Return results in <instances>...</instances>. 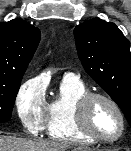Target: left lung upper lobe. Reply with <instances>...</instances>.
Segmentation results:
<instances>
[{"instance_id": "1", "label": "left lung upper lobe", "mask_w": 131, "mask_h": 151, "mask_svg": "<svg viewBox=\"0 0 131 151\" xmlns=\"http://www.w3.org/2000/svg\"><path fill=\"white\" fill-rule=\"evenodd\" d=\"M85 71L118 104L131 126L130 42L112 22L93 18L75 27Z\"/></svg>"}]
</instances>
